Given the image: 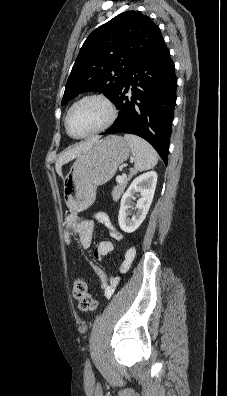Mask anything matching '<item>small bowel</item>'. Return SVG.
Segmentation results:
<instances>
[{
    "label": "small bowel",
    "mask_w": 227,
    "mask_h": 396,
    "mask_svg": "<svg viewBox=\"0 0 227 396\" xmlns=\"http://www.w3.org/2000/svg\"><path fill=\"white\" fill-rule=\"evenodd\" d=\"M94 221L102 224L109 231V235L113 240L120 241L122 239V234L112 224L109 216L104 212H96L93 216V220H82L77 215L69 216L68 226L73 231V233L68 234L66 239L67 243L72 244V234H75L80 245L85 249L89 248L92 244ZM112 250L113 243L109 240H103L96 245L94 250V256L97 260L101 261L103 257L106 256L108 253L112 252ZM135 253V247H131L128 249L125 254V259L120 266V271L125 272L128 270L134 259ZM92 269L99 281L101 288L103 289L105 297H111L118 285V277H108L97 266H93Z\"/></svg>",
    "instance_id": "1"
}]
</instances>
